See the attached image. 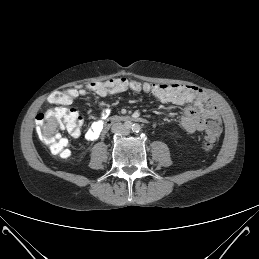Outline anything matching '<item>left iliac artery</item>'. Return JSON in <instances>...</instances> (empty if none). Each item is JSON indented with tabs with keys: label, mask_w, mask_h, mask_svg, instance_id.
I'll use <instances>...</instances> for the list:
<instances>
[{
	"label": "left iliac artery",
	"mask_w": 259,
	"mask_h": 259,
	"mask_svg": "<svg viewBox=\"0 0 259 259\" xmlns=\"http://www.w3.org/2000/svg\"><path fill=\"white\" fill-rule=\"evenodd\" d=\"M132 130H133L134 132H139L140 126H139V125H134L133 128H132Z\"/></svg>",
	"instance_id": "left-iliac-artery-1"
}]
</instances>
